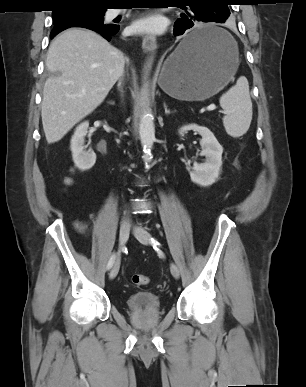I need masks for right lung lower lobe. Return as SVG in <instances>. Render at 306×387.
<instances>
[{"mask_svg": "<svg viewBox=\"0 0 306 387\" xmlns=\"http://www.w3.org/2000/svg\"><path fill=\"white\" fill-rule=\"evenodd\" d=\"M85 28L98 32L108 41H110L111 37L119 31V26L114 24L111 26L105 25V26L85 27ZM55 35L56 34L51 35V38H53Z\"/></svg>", "mask_w": 306, "mask_h": 387, "instance_id": "obj_1", "label": "right lung lower lobe"}]
</instances>
